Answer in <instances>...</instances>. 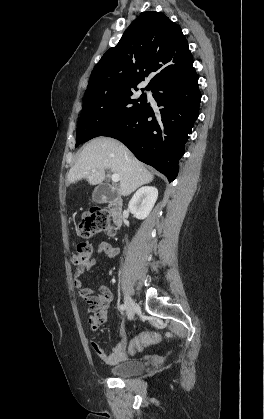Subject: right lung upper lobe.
I'll list each match as a JSON object with an SVG mask.
<instances>
[{
	"instance_id": "obj_1",
	"label": "right lung upper lobe",
	"mask_w": 264,
	"mask_h": 419,
	"mask_svg": "<svg viewBox=\"0 0 264 419\" xmlns=\"http://www.w3.org/2000/svg\"><path fill=\"white\" fill-rule=\"evenodd\" d=\"M193 73V57L180 26L163 13L148 11L131 23L118 44L96 64L85 96L137 89L149 74L153 77L147 90Z\"/></svg>"
}]
</instances>
